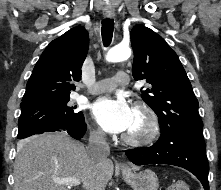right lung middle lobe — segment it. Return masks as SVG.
Segmentation results:
<instances>
[{"label":"right lung middle lobe","mask_w":221,"mask_h":190,"mask_svg":"<svg viewBox=\"0 0 221 190\" xmlns=\"http://www.w3.org/2000/svg\"><path fill=\"white\" fill-rule=\"evenodd\" d=\"M18 139L51 130L79 126L84 122L82 112L70 103V98L53 99L20 106Z\"/></svg>","instance_id":"right-lung-middle-lobe-1"}]
</instances>
